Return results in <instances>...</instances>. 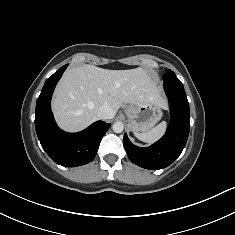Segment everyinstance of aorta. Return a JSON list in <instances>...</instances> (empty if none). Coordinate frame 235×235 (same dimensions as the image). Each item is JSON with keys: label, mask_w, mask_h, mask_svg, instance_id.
<instances>
[{"label": "aorta", "mask_w": 235, "mask_h": 235, "mask_svg": "<svg viewBox=\"0 0 235 235\" xmlns=\"http://www.w3.org/2000/svg\"><path fill=\"white\" fill-rule=\"evenodd\" d=\"M112 129L115 133H121L124 129V125L122 122H116L113 124Z\"/></svg>", "instance_id": "762f6f07"}]
</instances>
